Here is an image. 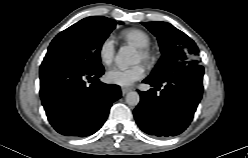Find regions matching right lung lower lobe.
<instances>
[{"mask_svg": "<svg viewBox=\"0 0 248 158\" xmlns=\"http://www.w3.org/2000/svg\"><path fill=\"white\" fill-rule=\"evenodd\" d=\"M103 66L84 68L63 62H42L40 96L49 122L62 135L85 137L98 131L120 87L99 81ZM86 80L91 84L87 85Z\"/></svg>", "mask_w": 248, "mask_h": 158, "instance_id": "obj_1", "label": "right lung lower lobe"}]
</instances>
